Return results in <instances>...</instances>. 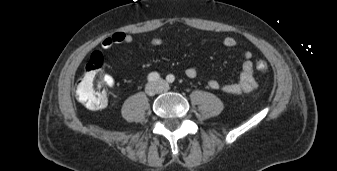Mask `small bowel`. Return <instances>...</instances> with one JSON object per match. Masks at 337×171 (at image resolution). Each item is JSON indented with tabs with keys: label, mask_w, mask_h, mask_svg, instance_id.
Listing matches in <instances>:
<instances>
[{
	"label": "small bowel",
	"mask_w": 337,
	"mask_h": 171,
	"mask_svg": "<svg viewBox=\"0 0 337 171\" xmlns=\"http://www.w3.org/2000/svg\"><path fill=\"white\" fill-rule=\"evenodd\" d=\"M133 42V36L127 32H115L110 36L105 37L101 41V48L108 50L114 45L118 44H130ZM166 43L163 38L155 37L150 40V45L153 47H161ZM221 44L227 48H232L237 45V40L233 37H226L222 40ZM112 60V58H109ZM252 53L250 51H245L243 53V62L241 66V71L239 75L238 82L229 83L221 85L218 80L210 79L208 81V86L214 90H221L229 95H241L249 93L258 87V83L255 79L254 68L252 63ZM185 75L190 78H196L198 76V71L194 67H188L185 70ZM104 82L107 86L113 87L115 85V79L113 76L106 74L104 76Z\"/></svg>",
	"instance_id": "c3829d8e"
}]
</instances>
